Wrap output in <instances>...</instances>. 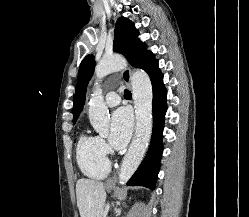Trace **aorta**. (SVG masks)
Listing matches in <instances>:
<instances>
[{
  "label": "aorta",
  "instance_id": "aorta-1",
  "mask_svg": "<svg viewBox=\"0 0 249 217\" xmlns=\"http://www.w3.org/2000/svg\"><path fill=\"white\" fill-rule=\"evenodd\" d=\"M126 61L117 55L104 57L95 68V89L89 102L90 123L98 133H105L109 127L107 106L99 88L98 82L110 73L122 70ZM134 99L136 127L135 134L126 153L120 173L119 181L125 184L134 174L147 150L152 132V84L148 74L136 70L131 78Z\"/></svg>",
  "mask_w": 249,
  "mask_h": 217
}]
</instances>
